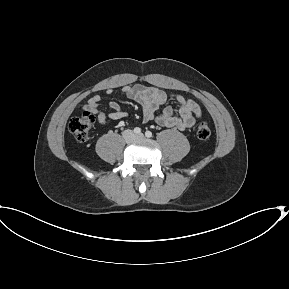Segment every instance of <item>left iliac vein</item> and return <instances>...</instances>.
Masks as SVG:
<instances>
[{
  "mask_svg": "<svg viewBox=\"0 0 289 289\" xmlns=\"http://www.w3.org/2000/svg\"><path fill=\"white\" fill-rule=\"evenodd\" d=\"M143 137H144V135L142 133L135 136L136 139H142Z\"/></svg>",
  "mask_w": 289,
  "mask_h": 289,
  "instance_id": "1",
  "label": "left iliac vein"
}]
</instances>
